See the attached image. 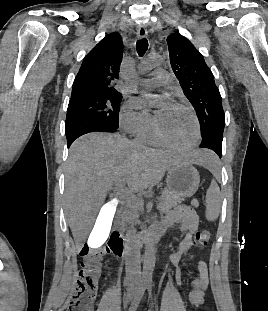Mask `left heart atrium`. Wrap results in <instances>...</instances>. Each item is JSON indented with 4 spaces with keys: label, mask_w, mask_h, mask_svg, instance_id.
<instances>
[{
    "label": "left heart atrium",
    "mask_w": 268,
    "mask_h": 311,
    "mask_svg": "<svg viewBox=\"0 0 268 311\" xmlns=\"http://www.w3.org/2000/svg\"><path fill=\"white\" fill-rule=\"evenodd\" d=\"M146 97L141 98V100L143 101ZM171 106H173L171 100L169 97L165 96L164 97V103H163V107L164 108H170Z\"/></svg>",
    "instance_id": "left-heart-atrium-1"
}]
</instances>
